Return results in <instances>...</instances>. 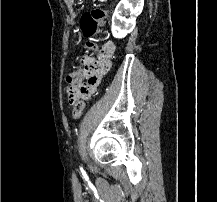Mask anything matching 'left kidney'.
<instances>
[{
  "label": "left kidney",
  "instance_id": "obj_1",
  "mask_svg": "<svg viewBox=\"0 0 217 202\" xmlns=\"http://www.w3.org/2000/svg\"><path fill=\"white\" fill-rule=\"evenodd\" d=\"M144 0H121L112 16L111 32L114 38H125L133 32L136 18L141 14Z\"/></svg>",
  "mask_w": 217,
  "mask_h": 202
}]
</instances>
